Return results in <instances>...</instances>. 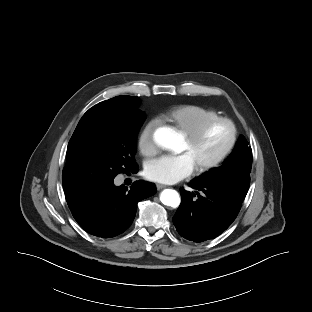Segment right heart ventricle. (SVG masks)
I'll return each mask as SVG.
<instances>
[{"label":"right heart ventricle","mask_w":312,"mask_h":312,"mask_svg":"<svg viewBox=\"0 0 312 312\" xmlns=\"http://www.w3.org/2000/svg\"><path fill=\"white\" fill-rule=\"evenodd\" d=\"M217 111L198 105H180L161 114L160 119L175 127L183 134H188L208 120L218 117Z\"/></svg>","instance_id":"e07e8e85"}]
</instances>
